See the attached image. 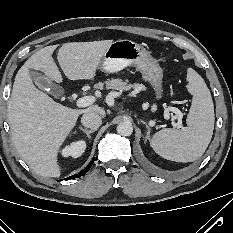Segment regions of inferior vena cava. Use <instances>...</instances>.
Here are the masks:
<instances>
[{
  "label": "inferior vena cava",
  "mask_w": 233,
  "mask_h": 233,
  "mask_svg": "<svg viewBox=\"0 0 233 233\" xmlns=\"http://www.w3.org/2000/svg\"><path fill=\"white\" fill-rule=\"evenodd\" d=\"M81 123L83 126L90 128L92 130H96L102 124V118L99 114L95 112H89L83 114L81 118Z\"/></svg>",
  "instance_id": "inferior-vena-cava-1"
}]
</instances>
